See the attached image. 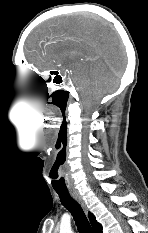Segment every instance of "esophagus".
Instances as JSON below:
<instances>
[{"mask_svg": "<svg viewBox=\"0 0 148 233\" xmlns=\"http://www.w3.org/2000/svg\"><path fill=\"white\" fill-rule=\"evenodd\" d=\"M69 192H70L71 196L81 205L83 210L86 211L85 203H84L82 197L80 196V194L78 193V191L70 190Z\"/></svg>", "mask_w": 148, "mask_h": 233, "instance_id": "1", "label": "esophagus"}]
</instances>
